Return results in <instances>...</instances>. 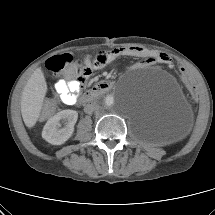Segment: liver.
I'll use <instances>...</instances> for the list:
<instances>
[{
	"label": "liver",
	"instance_id": "liver-1",
	"mask_svg": "<svg viewBox=\"0 0 215 215\" xmlns=\"http://www.w3.org/2000/svg\"><path fill=\"white\" fill-rule=\"evenodd\" d=\"M47 93V84L41 68L27 81L21 96V114L25 125L32 128L39 116Z\"/></svg>",
	"mask_w": 215,
	"mask_h": 215
}]
</instances>
